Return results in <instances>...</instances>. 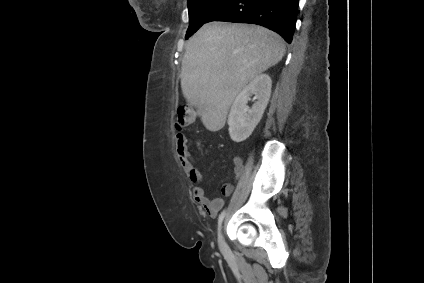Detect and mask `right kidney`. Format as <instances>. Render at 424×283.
Wrapping results in <instances>:
<instances>
[{"mask_svg":"<svg viewBox=\"0 0 424 283\" xmlns=\"http://www.w3.org/2000/svg\"><path fill=\"white\" fill-rule=\"evenodd\" d=\"M271 78L267 74L257 75L236 96L228 116L229 134L233 141L246 140L260 122L271 95ZM254 95L252 107L247 103Z\"/></svg>","mask_w":424,"mask_h":283,"instance_id":"ca27d5eb","label":"right kidney"}]
</instances>
